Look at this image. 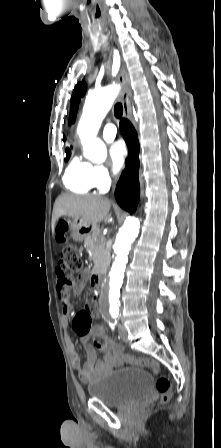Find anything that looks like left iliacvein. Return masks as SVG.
<instances>
[{
    "mask_svg": "<svg viewBox=\"0 0 221 448\" xmlns=\"http://www.w3.org/2000/svg\"><path fill=\"white\" fill-rule=\"evenodd\" d=\"M118 328H119V334H120L121 339L124 342H127L128 341V334H127V330H126L125 326L123 324H119Z\"/></svg>",
    "mask_w": 221,
    "mask_h": 448,
    "instance_id": "1",
    "label": "left iliac vein"
}]
</instances>
